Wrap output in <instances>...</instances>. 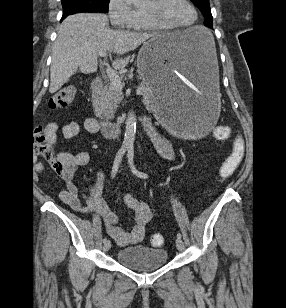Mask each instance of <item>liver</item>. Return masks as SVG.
<instances>
[{
	"instance_id": "6515ba94",
	"label": "liver",
	"mask_w": 286,
	"mask_h": 308,
	"mask_svg": "<svg viewBox=\"0 0 286 308\" xmlns=\"http://www.w3.org/2000/svg\"><path fill=\"white\" fill-rule=\"evenodd\" d=\"M162 35L170 39L182 37L181 31L158 34L110 30L104 14L79 13L66 17L59 26L53 47L49 92L58 91L78 70L85 74L96 72L99 52L117 54L113 65L121 69L127 66L130 56H120Z\"/></svg>"
}]
</instances>
